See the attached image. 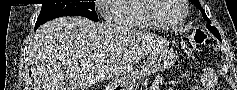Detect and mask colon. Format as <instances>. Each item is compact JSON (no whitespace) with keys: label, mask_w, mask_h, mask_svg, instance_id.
Instances as JSON below:
<instances>
[{"label":"colon","mask_w":237,"mask_h":90,"mask_svg":"<svg viewBox=\"0 0 237 90\" xmlns=\"http://www.w3.org/2000/svg\"><path fill=\"white\" fill-rule=\"evenodd\" d=\"M209 41L208 35L205 32L198 30L182 40V48L185 52L190 53L199 46L209 44Z\"/></svg>","instance_id":"5ec220e1"}]
</instances>
